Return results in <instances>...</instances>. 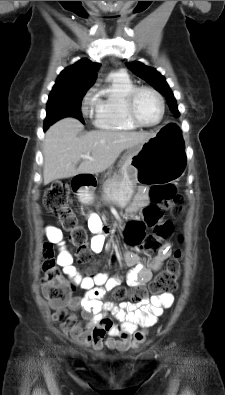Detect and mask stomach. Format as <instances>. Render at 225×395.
<instances>
[{
  "label": "stomach",
  "mask_w": 225,
  "mask_h": 395,
  "mask_svg": "<svg viewBox=\"0 0 225 395\" xmlns=\"http://www.w3.org/2000/svg\"><path fill=\"white\" fill-rule=\"evenodd\" d=\"M183 175L182 165L171 152L160 146L154 136L144 144L132 148L121 168V182L111 187L110 180L105 187L104 198L121 207L126 206L137 184L151 185L178 180ZM83 203H91L94 195L89 190H80Z\"/></svg>",
  "instance_id": "1"
}]
</instances>
